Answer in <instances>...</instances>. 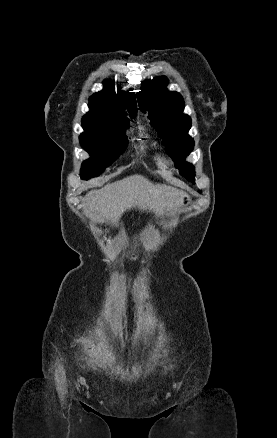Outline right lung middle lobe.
<instances>
[{"instance_id": "right-lung-middle-lobe-1", "label": "right lung middle lobe", "mask_w": 277, "mask_h": 438, "mask_svg": "<svg viewBox=\"0 0 277 438\" xmlns=\"http://www.w3.org/2000/svg\"><path fill=\"white\" fill-rule=\"evenodd\" d=\"M128 127L129 121L100 127L83 126L85 132L79 140L92 157L82 164V179L98 176L126 149L125 129Z\"/></svg>"}]
</instances>
